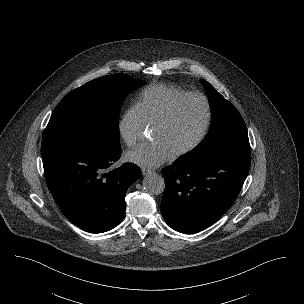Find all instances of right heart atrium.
Instances as JSON below:
<instances>
[{"instance_id":"right-heart-atrium-1","label":"right heart atrium","mask_w":304,"mask_h":304,"mask_svg":"<svg viewBox=\"0 0 304 304\" xmlns=\"http://www.w3.org/2000/svg\"><path fill=\"white\" fill-rule=\"evenodd\" d=\"M147 125L136 104L129 106L118 122V133L127 146L135 145L143 135Z\"/></svg>"}]
</instances>
